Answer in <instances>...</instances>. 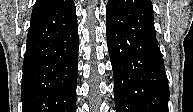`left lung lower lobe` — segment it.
Wrapping results in <instances>:
<instances>
[{
	"label": "left lung lower lobe",
	"instance_id": "1",
	"mask_svg": "<svg viewBox=\"0 0 193 112\" xmlns=\"http://www.w3.org/2000/svg\"><path fill=\"white\" fill-rule=\"evenodd\" d=\"M116 112H168L169 88L150 0H108Z\"/></svg>",
	"mask_w": 193,
	"mask_h": 112
}]
</instances>
